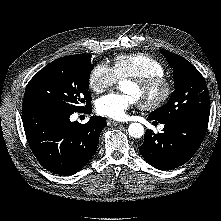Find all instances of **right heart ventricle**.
Listing matches in <instances>:
<instances>
[{
    "instance_id": "right-heart-ventricle-1",
    "label": "right heart ventricle",
    "mask_w": 221,
    "mask_h": 221,
    "mask_svg": "<svg viewBox=\"0 0 221 221\" xmlns=\"http://www.w3.org/2000/svg\"><path fill=\"white\" fill-rule=\"evenodd\" d=\"M112 68L118 79L144 78L165 73V67L159 60L144 53L118 55L113 60Z\"/></svg>"
}]
</instances>
